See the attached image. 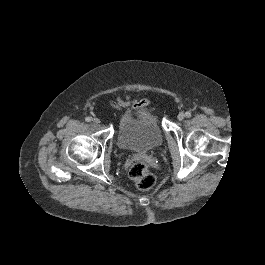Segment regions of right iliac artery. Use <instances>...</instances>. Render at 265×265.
I'll use <instances>...</instances> for the list:
<instances>
[{
	"mask_svg": "<svg viewBox=\"0 0 265 265\" xmlns=\"http://www.w3.org/2000/svg\"><path fill=\"white\" fill-rule=\"evenodd\" d=\"M91 120H92L91 117H86V118H85V121H86V122H90Z\"/></svg>",
	"mask_w": 265,
	"mask_h": 265,
	"instance_id": "1",
	"label": "right iliac artery"
}]
</instances>
